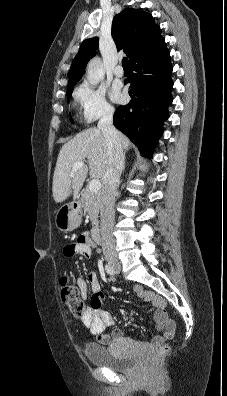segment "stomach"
<instances>
[{
    "mask_svg": "<svg viewBox=\"0 0 227 396\" xmlns=\"http://www.w3.org/2000/svg\"><path fill=\"white\" fill-rule=\"evenodd\" d=\"M81 223V205L73 202L59 208L55 217V225L62 232H70Z\"/></svg>",
    "mask_w": 227,
    "mask_h": 396,
    "instance_id": "0dacf381",
    "label": "stomach"
}]
</instances>
